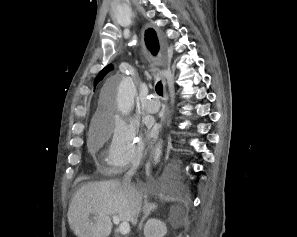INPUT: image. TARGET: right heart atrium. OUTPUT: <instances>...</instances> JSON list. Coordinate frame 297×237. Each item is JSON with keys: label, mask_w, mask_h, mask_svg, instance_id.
I'll list each match as a JSON object with an SVG mask.
<instances>
[{"label": "right heart atrium", "mask_w": 297, "mask_h": 237, "mask_svg": "<svg viewBox=\"0 0 297 237\" xmlns=\"http://www.w3.org/2000/svg\"><path fill=\"white\" fill-rule=\"evenodd\" d=\"M98 143L107 142L105 160L111 172H120L140 162L144 139L138 125L117 113H105L97 121Z\"/></svg>", "instance_id": "right-heart-atrium-1"}]
</instances>
